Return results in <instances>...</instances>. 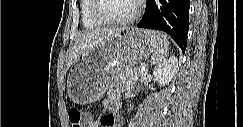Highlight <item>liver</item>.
<instances>
[{
    "mask_svg": "<svg viewBox=\"0 0 243 127\" xmlns=\"http://www.w3.org/2000/svg\"><path fill=\"white\" fill-rule=\"evenodd\" d=\"M125 28H109L87 30L79 33L76 37L74 46L67 53L66 69L81 56L89 53L99 46L105 39L111 37Z\"/></svg>",
    "mask_w": 243,
    "mask_h": 127,
    "instance_id": "1",
    "label": "liver"
}]
</instances>
